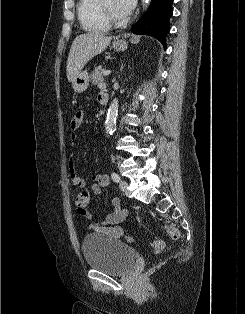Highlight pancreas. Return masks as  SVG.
Listing matches in <instances>:
<instances>
[{"instance_id": "pancreas-1", "label": "pancreas", "mask_w": 245, "mask_h": 314, "mask_svg": "<svg viewBox=\"0 0 245 314\" xmlns=\"http://www.w3.org/2000/svg\"><path fill=\"white\" fill-rule=\"evenodd\" d=\"M105 72V69L102 68L101 66L95 67L90 78H91V83L93 85H98L104 81L103 78V73Z\"/></svg>"}]
</instances>
